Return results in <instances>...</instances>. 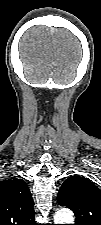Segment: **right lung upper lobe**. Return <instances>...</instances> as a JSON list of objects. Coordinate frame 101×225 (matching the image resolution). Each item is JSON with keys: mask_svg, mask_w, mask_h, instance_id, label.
I'll list each match as a JSON object with an SVG mask.
<instances>
[{"mask_svg": "<svg viewBox=\"0 0 101 225\" xmlns=\"http://www.w3.org/2000/svg\"><path fill=\"white\" fill-rule=\"evenodd\" d=\"M33 198L27 184L18 178L0 183V225H36Z\"/></svg>", "mask_w": 101, "mask_h": 225, "instance_id": "right-lung-upper-lobe-1", "label": "right lung upper lobe"}]
</instances>
